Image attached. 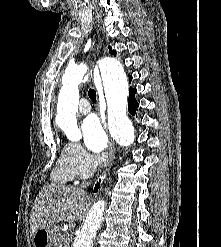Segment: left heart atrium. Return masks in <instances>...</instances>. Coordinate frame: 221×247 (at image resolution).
<instances>
[{
    "label": "left heart atrium",
    "mask_w": 221,
    "mask_h": 247,
    "mask_svg": "<svg viewBox=\"0 0 221 247\" xmlns=\"http://www.w3.org/2000/svg\"><path fill=\"white\" fill-rule=\"evenodd\" d=\"M85 146L94 153L105 149L108 143L107 135L98 118L89 116L81 126Z\"/></svg>",
    "instance_id": "obj_1"
}]
</instances>
